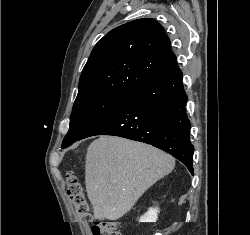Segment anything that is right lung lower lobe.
Instances as JSON below:
<instances>
[{"instance_id": "right-lung-lower-lobe-1", "label": "right lung lower lobe", "mask_w": 250, "mask_h": 235, "mask_svg": "<svg viewBox=\"0 0 250 235\" xmlns=\"http://www.w3.org/2000/svg\"><path fill=\"white\" fill-rule=\"evenodd\" d=\"M187 100L175 56L163 72L79 140L94 135H114L144 142L171 154L193 174L194 146L189 140Z\"/></svg>"}]
</instances>
